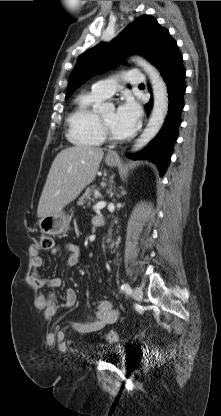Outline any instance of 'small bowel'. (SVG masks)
Instances as JSON below:
<instances>
[{
    "label": "small bowel",
    "instance_id": "small-bowel-1",
    "mask_svg": "<svg viewBox=\"0 0 221 416\" xmlns=\"http://www.w3.org/2000/svg\"><path fill=\"white\" fill-rule=\"evenodd\" d=\"M67 252L65 259L66 266H75L80 259V248L75 243H67L64 246ZM61 251L60 247L52 249L53 254ZM43 265V259L40 257L38 250L33 248L31 251V272L30 282L37 289H55L61 286V279L58 277H42L38 273V269ZM76 292L72 288L65 291L64 304L65 308L72 307L76 302ZM36 304L43 308L44 314L47 318L55 316L59 309L56 296L54 294L40 295L36 298ZM118 311L113 307L109 300H101L97 303L95 318L88 322H67L80 335H87L96 332L106 325L114 323L118 318ZM58 335H63L62 330L57 331Z\"/></svg>",
    "mask_w": 221,
    "mask_h": 416
}]
</instances>
